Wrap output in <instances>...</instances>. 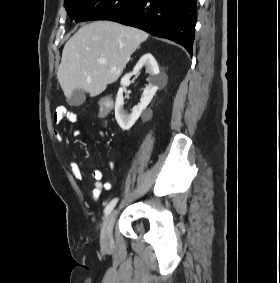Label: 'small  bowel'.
I'll use <instances>...</instances> for the list:
<instances>
[{"mask_svg": "<svg viewBox=\"0 0 280 283\" xmlns=\"http://www.w3.org/2000/svg\"><path fill=\"white\" fill-rule=\"evenodd\" d=\"M75 120H76V114L64 107L58 108L54 114V122L57 124L61 123L62 121L74 122ZM71 134L73 137L76 138L83 136V132L80 129H73ZM54 137L58 142H62L64 138L62 132H60L59 130L54 131ZM85 139H87V137H85ZM70 171L75 178L82 177V170L77 162L75 161L70 162ZM102 178H103V173L100 170H94L91 174V181L93 185L92 197L94 199H97L101 194V192L104 189H108L111 185L110 182L103 183Z\"/></svg>", "mask_w": 280, "mask_h": 283, "instance_id": "obj_1", "label": "small bowel"}]
</instances>
